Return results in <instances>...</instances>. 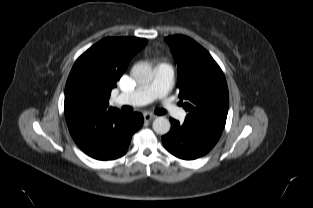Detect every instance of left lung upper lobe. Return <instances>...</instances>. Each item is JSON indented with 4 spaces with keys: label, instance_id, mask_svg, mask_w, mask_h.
<instances>
[{
    "label": "left lung upper lobe",
    "instance_id": "1",
    "mask_svg": "<svg viewBox=\"0 0 313 208\" xmlns=\"http://www.w3.org/2000/svg\"><path fill=\"white\" fill-rule=\"evenodd\" d=\"M177 63L181 104L186 121L198 127L222 131L229 94L224 74L207 50L184 35L165 37Z\"/></svg>",
    "mask_w": 313,
    "mask_h": 208
}]
</instances>
